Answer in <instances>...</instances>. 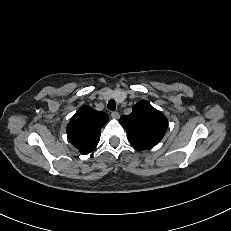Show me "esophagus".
Returning a JSON list of instances; mask_svg holds the SVG:
<instances>
[{"mask_svg":"<svg viewBox=\"0 0 231 231\" xmlns=\"http://www.w3.org/2000/svg\"><path fill=\"white\" fill-rule=\"evenodd\" d=\"M111 117L113 118V119H119V117H120V114L118 113V112H112L111 113Z\"/></svg>","mask_w":231,"mask_h":231,"instance_id":"34e87169","label":"esophagus"}]
</instances>
